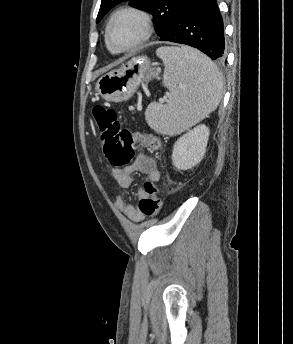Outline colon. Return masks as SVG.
<instances>
[{
    "mask_svg": "<svg viewBox=\"0 0 293 344\" xmlns=\"http://www.w3.org/2000/svg\"><path fill=\"white\" fill-rule=\"evenodd\" d=\"M92 114L97 123L100 139L103 144V152L114 168H122L131 162L137 144L147 147L151 151L160 148L158 137L150 133H133L123 129L119 123V112L103 105H95ZM146 197L139 202V210L144 216L158 215L162 208V200L157 188L150 181L143 187Z\"/></svg>",
    "mask_w": 293,
    "mask_h": 344,
    "instance_id": "5ec220e1",
    "label": "colon"
}]
</instances>
